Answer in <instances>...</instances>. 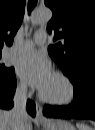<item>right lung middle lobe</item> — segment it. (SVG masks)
I'll return each mask as SVG.
<instances>
[{
    "mask_svg": "<svg viewBox=\"0 0 95 130\" xmlns=\"http://www.w3.org/2000/svg\"><path fill=\"white\" fill-rule=\"evenodd\" d=\"M13 73H14V68H6L4 64H0V80H4L10 77Z\"/></svg>",
    "mask_w": 95,
    "mask_h": 130,
    "instance_id": "right-lung-middle-lobe-1",
    "label": "right lung middle lobe"
}]
</instances>
